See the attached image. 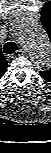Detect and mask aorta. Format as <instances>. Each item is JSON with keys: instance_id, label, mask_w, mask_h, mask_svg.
I'll list each match as a JSON object with an SVG mask.
<instances>
[{"instance_id": "762f6f07", "label": "aorta", "mask_w": 51, "mask_h": 153, "mask_svg": "<svg viewBox=\"0 0 51 153\" xmlns=\"http://www.w3.org/2000/svg\"><path fill=\"white\" fill-rule=\"evenodd\" d=\"M15 39L28 52L37 69L48 70L51 66V46L48 35L41 25L18 19L11 25Z\"/></svg>"}]
</instances>
